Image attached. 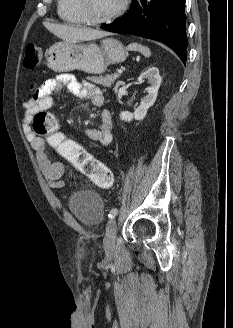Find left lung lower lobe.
Listing matches in <instances>:
<instances>
[{
  "label": "left lung lower lobe",
  "mask_w": 233,
  "mask_h": 328,
  "mask_svg": "<svg viewBox=\"0 0 233 328\" xmlns=\"http://www.w3.org/2000/svg\"><path fill=\"white\" fill-rule=\"evenodd\" d=\"M184 0H132L126 16L101 28L160 41L186 61V22Z\"/></svg>",
  "instance_id": "1"
}]
</instances>
